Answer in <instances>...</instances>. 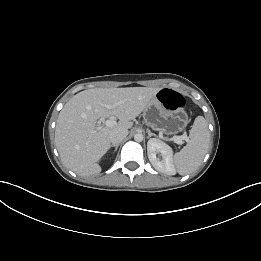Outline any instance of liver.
Instances as JSON below:
<instances>
[{
    "label": "liver",
    "instance_id": "obj_1",
    "mask_svg": "<svg viewBox=\"0 0 261 261\" xmlns=\"http://www.w3.org/2000/svg\"><path fill=\"white\" fill-rule=\"evenodd\" d=\"M160 88H94L74 95L60 111L55 145L63 164L83 177L101 172L98 161L110 148L109 135L115 129H129ZM107 105H115L107 109ZM115 116L114 126L96 128L99 118Z\"/></svg>",
    "mask_w": 261,
    "mask_h": 261
}]
</instances>
